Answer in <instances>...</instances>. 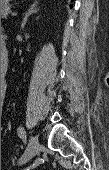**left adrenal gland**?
<instances>
[{
	"mask_svg": "<svg viewBox=\"0 0 109 170\" xmlns=\"http://www.w3.org/2000/svg\"><path fill=\"white\" fill-rule=\"evenodd\" d=\"M37 4H38L37 1L34 2V3L30 6V8L28 9V11L25 13V16H24L23 21H22V24H21V28H22V29L25 27V25H26V23H27L28 17H29L30 15L36 13V12L39 10L38 8H36V7H37Z\"/></svg>",
	"mask_w": 109,
	"mask_h": 170,
	"instance_id": "left-adrenal-gland-1",
	"label": "left adrenal gland"
}]
</instances>
